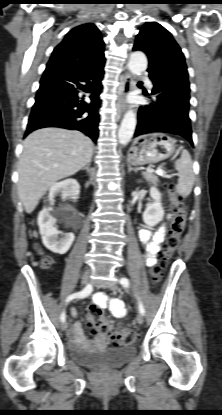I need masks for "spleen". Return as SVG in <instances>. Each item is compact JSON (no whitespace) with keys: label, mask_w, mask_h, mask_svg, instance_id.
<instances>
[{"label":"spleen","mask_w":222,"mask_h":415,"mask_svg":"<svg viewBox=\"0 0 222 415\" xmlns=\"http://www.w3.org/2000/svg\"><path fill=\"white\" fill-rule=\"evenodd\" d=\"M174 167L179 173L176 191L180 196L187 197L192 191L195 180L191 156L187 150H182L180 158L174 163Z\"/></svg>","instance_id":"3e777b00"}]
</instances>
